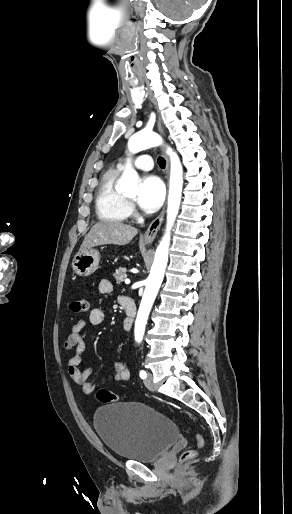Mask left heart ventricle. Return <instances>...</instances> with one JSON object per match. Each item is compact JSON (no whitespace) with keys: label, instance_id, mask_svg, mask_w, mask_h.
<instances>
[{"label":"left heart ventricle","instance_id":"left-heart-ventricle-1","mask_svg":"<svg viewBox=\"0 0 292 514\" xmlns=\"http://www.w3.org/2000/svg\"><path fill=\"white\" fill-rule=\"evenodd\" d=\"M124 196H126L128 199H133L134 198V194H123Z\"/></svg>","mask_w":292,"mask_h":514}]
</instances>
